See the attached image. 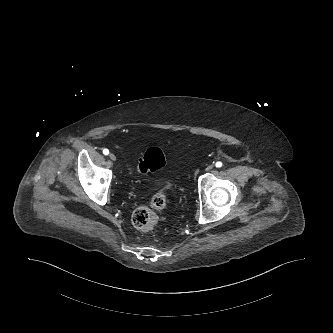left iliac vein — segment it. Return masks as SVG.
Listing matches in <instances>:
<instances>
[{
    "mask_svg": "<svg viewBox=\"0 0 333 333\" xmlns=\"http://www.w3.org/2000/svg\"><path fill=\"white\" fill-rule=\"evenodd\" d=\"M212 168H213V165H208V166L206 167V171H210V170H212Z\"/></svg>",
    "mask_w": 333,
    "mask_h": 333,
    "instance_id": "left-iliac-vein-1",
    "label": "left iliac vein"
}]
</instances>
